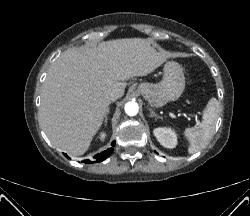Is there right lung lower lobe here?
Listing matches in <instances>:
<instances>
[{
  "mask_svg": "<svg viewBox=\"0 0 250 216\" xmlns=\"http://www.w3.org/2000/svg\"><path fill=\"white\" fill-rule=\"evenodd\" d=\"M115 145V141L112 142V146ZM113 148H109L106 151L101 152L100 154H97L94 156L95 162H101L103 160H105L106 158H108L110 156V154L112 153ZM84 163H91L90 160H85L83 161Z\"/></svg>",
  "mask_w": 250,
  "mask_h": 216,
  "instance_id": "obj_1",
  "label": "right lung lower lobe"
}]
</instances>
